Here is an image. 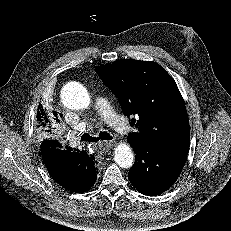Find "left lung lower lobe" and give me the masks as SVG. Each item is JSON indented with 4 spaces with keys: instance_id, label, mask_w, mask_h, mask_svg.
Wrapping results in <instances>:
<instances>
[{
    "instance_id": "left-lung-lower-lobe-1",
    "label": "left lung lower lobe",
    "mask_w": 231,
    "mask_h": 231,
    "mask_svg": "<svg viewBox=\"0 0 231 231\" xmlns=\"http://www.w3.org/2000/svg\"><path fill=\"white\" fill-rule=\"evenodd\" d=\"M132 147L136 160L128 177L134 187L147 196L159 195L170 188L187 159V155H170L149 146Z\"/></svg>"
}]
</instances>
